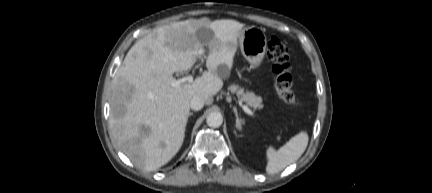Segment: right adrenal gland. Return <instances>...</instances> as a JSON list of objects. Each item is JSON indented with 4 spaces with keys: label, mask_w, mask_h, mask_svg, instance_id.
Here are the masks:
<instances>
[{
    "label": "right adrenal gland",
    "mask_w": 432,
    "mask_h": 193,
    "mask_svg": "<svg viewBox=\"0 0 432 193\" xmlns=\"http://www.w3.org/2000/svg\"><path fill=\"white\" fill-rule=\"evenodd\" d=\"M191 115H193V113L190 112V113H189V116H191Z\"/></svg>",
    "instance_id": "2a0ac1e0"
}]
</instances>
